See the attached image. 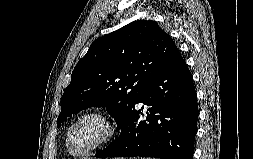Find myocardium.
Segmentation results:
<instances>
[{"label":"myocardium","instance_id":"1","mask_svg":"<svg viewBox=\"0 0 253 159\" xmlns=\"http://www.w3.org/2000/svg\"><path fill=\"white\" fill-rule=\"evenodd\" d=\"M90 116H97L101 118L105 122L106 131L104 135L87 150H85L84 152H76L75 150L72 149L70 145L72 133L76 125L81 120ZM117 134H118V124L116 120L114 119V117L109 112H107L105 109H100V108L89 109L79 114L69 126L67 130V135H66V147L71 155L76 156V157H85L92 154L94 151L103 147L109 142H111L116 137Z\"/></svg>","mask_w":253,"mask_h":159}]
</instances>
